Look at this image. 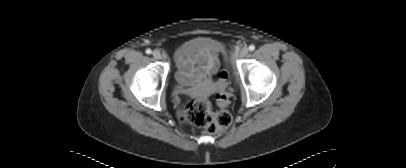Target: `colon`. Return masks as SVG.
I'll return each instance as SVG.
<instances>
[{"mask_svg":"<svg viewBox=\"0 0 406 168\" xmlns=\"http://www.w3.org/2000/svg\"><path fill=\"white\" fill-rule=\"evenodd\" d=\"M231 102V94L227 88V73H218L217 103L220 107H226ZM180 117L187 123L203 129L212 134L228 128L232 123V116L226 110L214 112L209 101L200 96L189 99L180 111Z\"/></svg>","mask_w":406,"mask_h":168,"instance_id":"obj_1","label":"colon"}]
</instances>
